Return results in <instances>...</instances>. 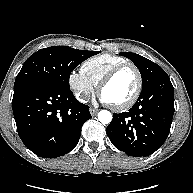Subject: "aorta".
I'll use <instances>...</instances> for the list:
<instances>
[{
    "instance_id": "1",
    "label": "aorta",
    "mask_w": 193,
    "mask_h": 193,
    "mask_svg": "<svg viewBox=\"0 0 193 193\" xmlns=\"http://www.w3.org/2000/svg\"><path fill=\"white\" fill-rule=\"evenodd\" d=\"M98 120L103 124H109L112 121V114L107 110H101L98 113Z\"/></svg>"
}]
</instances>
